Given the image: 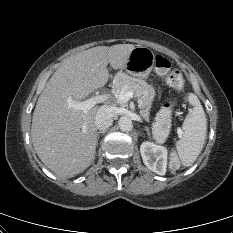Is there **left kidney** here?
<instances>
[{
    "mask_svg": "<svg viewBox=\"0 0 233 233\" xmlns=\"http://www.w3.org/2000/svg\"><path fill=\"white\" fill-rule=\"evenodd\" d=\"M140 153L148 169L158 175H165L168 152L164 146L146 141L141 144Z\"/></svg>",
    "mask_w": 233,
    "mask_h": 233,
    "instance_id": "left-kidney-1",
    "label": "left kidney"
}]
</instances>
